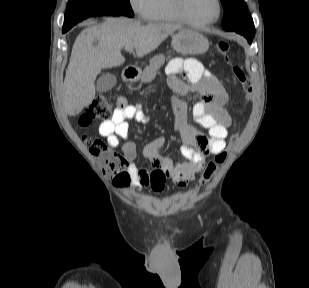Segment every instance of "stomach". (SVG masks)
Here are the masks:
<instances>
[{
	"label": "stomach",
	"mask_w": 309,
	"mask_h": 288,
	"mask_svg": "<svg viewBox=\"0 0 309 288\" xmlns=\"http://www.w3.org/2000/svg\"><path fill=\"white\" fill-rule=\"evenodd\" d=\"M172 47L182 55H198L206 52L209 42L201 33L182 28L172 36Z\"/></svg>",
	"instance_id": "1"
}]
</instances>
